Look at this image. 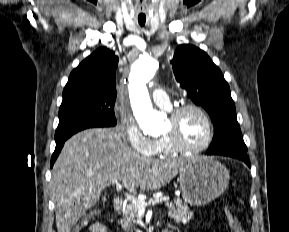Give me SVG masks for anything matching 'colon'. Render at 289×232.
Wrapping results in <instances>:
<instances>
[{
  "label": "colon",
  "mask_w": 289,
  "mask_h": 232,
  "mask_svg": "<svg viewBox=\"0 0 289 232\" xmlns=\"http://www.w3.org/2000/svg\"><path fill=\"white\" fill-rule=\"evenodd\" d=\"M225 212H226V218H227L228 224L232 232H244L239 220L233 214V212L229 208H227ZM84 225H85V221L81 220L72 228L71 232H81Z\"/></svg>",
  "instance_id": "5ec220e1"
}]
</instances>
